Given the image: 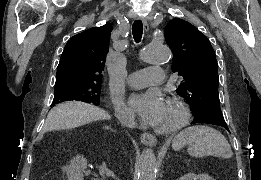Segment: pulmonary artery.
<instances>
[{
  "instance_id": "pulmonary-artery-1",
  "label": "pulmonary artery",
  "mask_w": 261,
  "mask_h": 180,
  "mask_svg": "<svg viewBox=\"0 0 261 180\" xmlns=\"http://www.w3.org/2000/svg\"><path fill=\"white\" fill-rule=\"evenodd\" d=\"M163 69H142L129 74L126 78V82L135 88L148 89L149 82L165 83L166 79L163 78Z\"/></svg>"
}]
</instances>
